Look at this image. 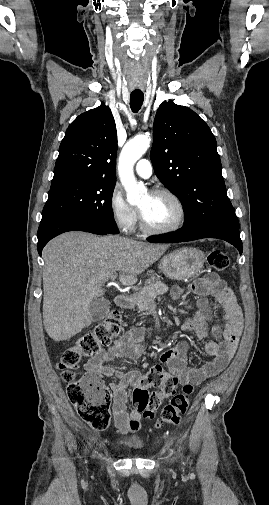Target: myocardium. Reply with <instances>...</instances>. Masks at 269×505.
I'll use <instances>...</instances> for the list:
<instances>
[{"mask_svg":"<svg viewBox=\"0 0 269 505\" xmlns=\"http://www.w3.org/2000/svg\"><path fill=\"white\" fill-rule=\"evenodd\" d=\"M152 195H161V196H167L171 198L177 205L179 209V218L178 220L169 226L166 227H154L150 225L145 217L143 216L142 212L139 211V216H140V226L143 231L149 233V234H167L171 232H175L179 230L186 222L187 219V209L182 201V199L173 191L165 188L161 189H156L151 192Z\"/></svg>","mask_w":269,"mask_h":505,"instance_id":"myocardium-1","label":"myocardium"}]
</instances>
